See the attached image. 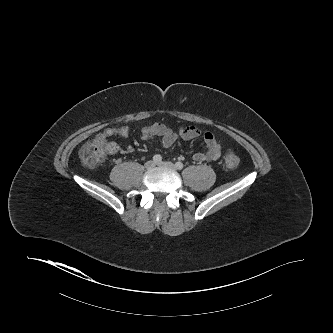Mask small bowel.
I'll return each instance as SVG.
<instances>
[{
  "mask_svg": "<svg viewBox=\"0 0 333 333\" xmlns=\"http://www.w3.org/2000/svg\"><path fill=\"white\" fill-rule=\"evenodd\" d=\"M129 133L130 129L127 126L109 127L98 133L95 139H103L107 141L110 146V154H116L119 152L131 153L133 151L131 146L121 149L116 143L108 141L110 137H127ZM200 136L203 137L207 150L205 152H196L192 154V160L196 162H212L217 160L222 152L221 142L211 132L202 133V131L196 126H182L178 131H174L163 123H155L144 126L140 134L143 141H153L159 138L160 143L164 148H169L178 139L193 140Z\"/></svg>",
  "mask_w": 333,
  "mask_h": 333,
  "instance_id": "c3829d8e",
  "label": "small bowel"
}]
</instances>
